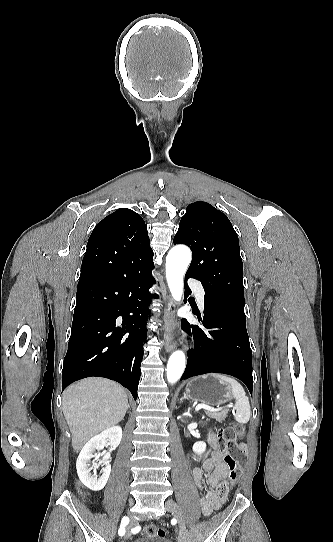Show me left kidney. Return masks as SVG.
<instances>
[{
  "label": "left kidney",
  "instance_id": "left-kidney-1",
  "mask_svg": "<svg viewBox=\"0 0 333 542\" xmlns=\"http://www.w3.org/2000/svg\"><path fill=\"white\" fill-rule=\"evenodd\" d=\"M205 450H206L205 442H195L193 446V452H195V454H203Z\"/></svg>",
  "mask_w": 333,
  "mask_h": 542
}]
</instances>
